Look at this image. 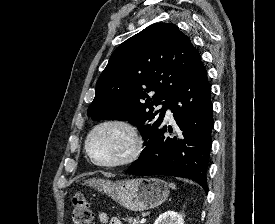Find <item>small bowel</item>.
<instances>
[{
    "instance_id": "1",
    "label": "small bowel",
    "mask_w": 275,
    "mask_h": 224,
    "mask_svg": "<svg viewBox=\"0 0 275 224\" xmlns=\"http://www.w3.org/2000/svg\"><path fill=\"white\" fill-rule=\"evenodd\" d=\"M97 218L101 224H123L118 217H112L104 211L99 212Z\"/></svg>"
}]
</instances>
